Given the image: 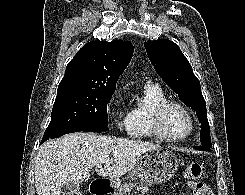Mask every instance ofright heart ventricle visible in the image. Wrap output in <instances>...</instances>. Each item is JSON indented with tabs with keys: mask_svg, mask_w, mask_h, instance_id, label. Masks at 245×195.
Listing matches in <instances>:
<instances>
[{
	"mask_svg": "<svg viewBox=\"0 0 245 195\" xmlns=\"http://www.w3.org/2000/svg\"><path fill=\"white\" fill-rule=\"evenodd\" d=\"M144 103L133 106L128 112V135L133 138H157L150 124V115L153 108L159 103L168 100L164 91L157 85L143 88Z\"/></svg>",
	"mask_w": 245,
	"mask_h": 195,
	"instance_id": "e07e8e85",
	"label": "right heart ventricle"
}]
</instances>
